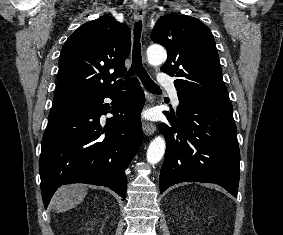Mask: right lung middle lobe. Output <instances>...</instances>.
<instances>
[{
  "mask_svg": "<svg viewBox=\"0 0 283 235\" xmlns=\"http://www.w3.org/2000/svg\"><path fill=\"white\" fill-rule=\"evenodd\" d=\"M82 101L64 102L54 104L48 118V123L60 120L71 114Z\"/></svg>",
  "mask_w": 283,
  "mask_h": 235,
  "instance_id": "right-lung-middle-lobe-1",
  "label": "right lung middle lobe"
}]
</instances>
